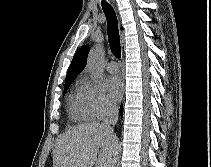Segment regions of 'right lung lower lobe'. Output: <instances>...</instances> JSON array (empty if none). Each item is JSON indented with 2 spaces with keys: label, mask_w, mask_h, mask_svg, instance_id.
I'll return each instance as SVG.
<instances>
[{
  "label": "right lung lower lobe",
  "mask_w": 211,
  "mask_h": 167,
  "mask_svg": "<svg viewBox=\"0 0 211 167\" xmlns=\"http://www.w3.org/2000/svg\"><path fill=\"white\" fill-rule=\"evenodd\" d=\"M122 113H123V106L121 105V107H120V114L122 115Z\"/></svg>",
  "instance_id": "right-lung-lower-lobe-1"
}]
</instances>
